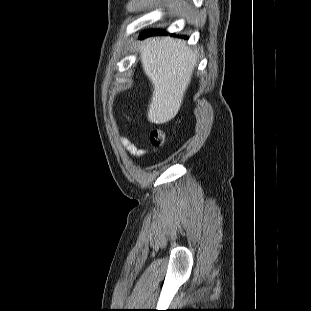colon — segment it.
Returning <instances> with one entry per match:
<instances>
[{"instance_id":"5ec220e1","label":"colon","mask_w":311,"mask_h":311,"mask_svg":"<svg viewBox=\"0 0 311 311\" xmlns=\"http://www.w3.org/2000/svg\"><path fill=\"white\" fill-rule=\"evenodd\" d=\"M150 136H151V140L155 146L163 145L167 139L165 132L161 129L152 130Z\"/></svg>"}]
</instances>
